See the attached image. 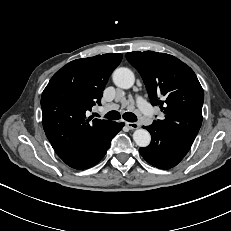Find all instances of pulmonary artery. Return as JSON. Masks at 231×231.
Here are the masks:
<instances>
[{
	"label": "pulmonary artery",
	"instance_id": "1",
	"mask_svg": "<svg viewBox=\"0 0 231 231\" xmlns=\"http://www.w3.org/2000/svg\"><path fill=\"white\" fill-rule=\"evenodd\" d=\"M137 104L139 109L142 111V113L148 117H151L153 112L152 109L150 108V106L146 103V101L144 99H142L141 97H139L137 99Z\"/></svg>",
	"mask_w": 231,
	"mask_h": 231
}]
</instances>
